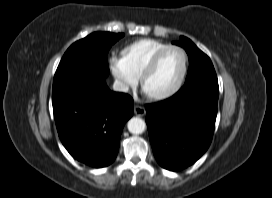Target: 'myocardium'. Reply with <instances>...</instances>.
Here are the masks:
<instances>
[{"instance_id":"myocardium-1","label":"myocardium","mask_w":272,"mask_h":198,"mask_svg":"<svg viewBox=\"0 0 272 198\" xmlns=\"http://www.w3.org/2000/svg\"><path fill=\"white\" fill-rule=\"evenodd\" d=\"M176 49L179 50L182 55H183V70L181 73V76L176 83V85L170 89L169 91L162 93V94H157V95H147L149 99L154 100V101H161V100H166L168 98L173 97L176 95L181 88L183 87L187 74H188V68H189V58L187 52L180 46L178 45H168L166 47L161 48L158 50L152 58L149 60L147 65L144 67L143 71L141 72L139 76V83L141 88L143 89V84L145 79L155 70L157 67L159 61L161 60L162 56L168 52L169 50Z\"/></svg>"}]
</instances>
